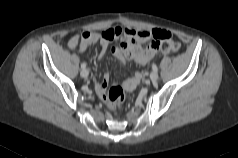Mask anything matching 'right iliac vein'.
Returning <instances> with one entry per match:
<instances>
[{
  "mask_svg": "<svg viewBox=\"0 0 238 158\" xmlns=\"http://www.w3.org/2000/svg\"><path fill=\"white\" fill-rule=\"evenodd\" d=\"M88 75H89V71H88L86 68H84V69L81 70V76H82L83 78H87Z\"/></svg>",
  "mask_w": 238,
  "mask_h": 158,
  "instance_id": "1",
  "label": "right iliac vein"
}]
</instances>
